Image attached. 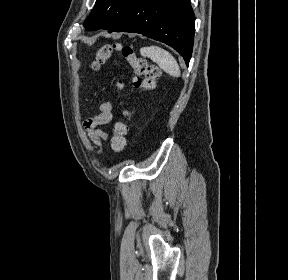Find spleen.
I'll list each match as a JSON object with an SVG mask.
<instances>
[{"instance_id": "obj_1", "label": "spleen", "mask_w": 288, "mask_h": 280, "mask_svg": "<svg viewBox=\"0 0 288 280\" xmlns=\"http://www.w3.org/2000/svg\"><path fill=\"white\" fill-rule=\"evenodd\" d=\"M140 54L157 63L161 69L173 77H180L181 71L175 58L159 46L142 47Z\"/></svg>"}]
</instances>
